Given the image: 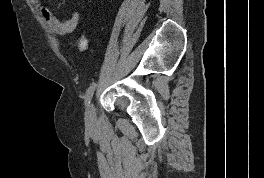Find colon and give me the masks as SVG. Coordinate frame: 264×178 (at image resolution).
Segmentation results:
<instances>
[{"label": "colon", "instance_id": "obj_1", "mask_svg": "<svg viewBox=\"0 0 264 178\" xmlns=\"http://www.w3.org/2000/svg\"><path fill=\"white\" fill-rule=\"evenodd\" d=\"M89 41L85 34H82L76 41L75 46L80 53L88 50Z\"/></svg>", "mask_w": 264, "mask_h": 178}]
</instances>
